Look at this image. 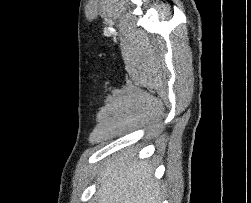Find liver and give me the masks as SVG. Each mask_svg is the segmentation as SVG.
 <instances>
[{
    "mask_svg": "<svg viewBox=\"0 0 251 203\" xmlns=\"http://www.w3.org/2000/svg\"><path fill=\"white\" fill-rule=\"evenodd\" d=\"M134 149L121 152L100 173L96 203H160L153 167L138 161Z\"/></svg>",
    "mask_w": 251,
    "mask_h": 203,
    "instance_id": "1",
    "label": "liver"
}]
</instances>
